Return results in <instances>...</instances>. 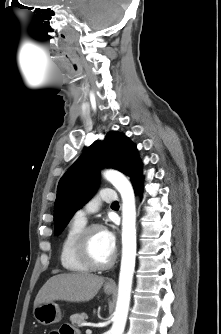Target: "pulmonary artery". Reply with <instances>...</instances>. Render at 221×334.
<instances>
[{
  "mask_svg": "<svg viewBox=\"0 0 221 334\" xmlns=\"http://www.w3.org/2000/svg\"><path fill=\"white\" fill-rule=\"evenodd\" d=\"M116 200V194L113 189L105 188L100 193L87 202V204L75 213V218L87 221L89 214L97 211L102 202H112Z\"/></svg>",
  "mask_w": 221,
  "mask_h": 334,
  "instance_id": "obj_1",
  "label": "pulmonary artery"
}]
</instances>
